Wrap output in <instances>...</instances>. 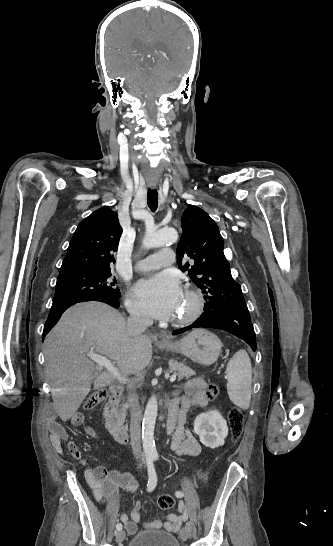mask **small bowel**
Wrapping results in <instances>:
<instances>
[{
  "label": "small bowel",
  "instance_id": "c3829d8e",
  "mask_svg": "<svg viewBox=\"0 0 333 546\" xmlns=\"http://www.w3.org/2000/svg\"><path fill=\"white\" fill-rule=\"evenodd\" d=\"M208 400L205 397V382L202 379L195 378L189 380L185 384V395L173 400L169 405V419L167 422L168 433H173L171 448L179 455L196 456L201 452V445L193 433L185 430L186 411L190 405L204 407ZM83 420L81 415L74 418L75 423H81ZM50 431V442L56 452L62 453V443L65 442L70 454L81 461L85 466L86 476L94 486L93 495L98 503H116L118 501V487H129L131 481L126 478L123 481H117L107 474L101 467H91L81 457V452L77 445L70 441L68 433L54 419L48 423ZM84 432L90 439L96 438L95 431L90 426L84 427ZM140 505L138 502L132 505L130 514L123 513L120 520L124 523L128 533L136 532L138 525L141 523ZM177 509L180 514H169L163 519L155 520L152 525L163 527L168 532L176 533L185 522L187 516L186 507L183 502H179Z\"/></svg>",
  "mask_w": 333,
  "mask_h": 546
}]
</instances>
